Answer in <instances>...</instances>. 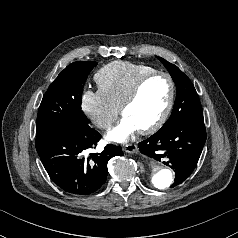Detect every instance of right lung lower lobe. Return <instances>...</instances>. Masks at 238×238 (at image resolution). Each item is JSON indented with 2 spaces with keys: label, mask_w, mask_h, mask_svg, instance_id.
<instances>
[{
  "label": "right lung lower lobe",
  "mask_w": 238,
  "mask_h": 238,
  "mask_svg": "<svg viewBox=\"0 0 238 238\" xmlns=\"http://www.w3.org/2000/svg\"><path fill=\"white\" fill-rule=\"evenodd\" d=\"M101 135L88 124L65 125L36 135V150L50 178L71 194L88 195L107 179V162L122 156L120 147L108 144L101 153H85L94 148Z\"/></svg>",
  "instance_id": "right-lung-lower-lobe-1"
}]
</instances>
